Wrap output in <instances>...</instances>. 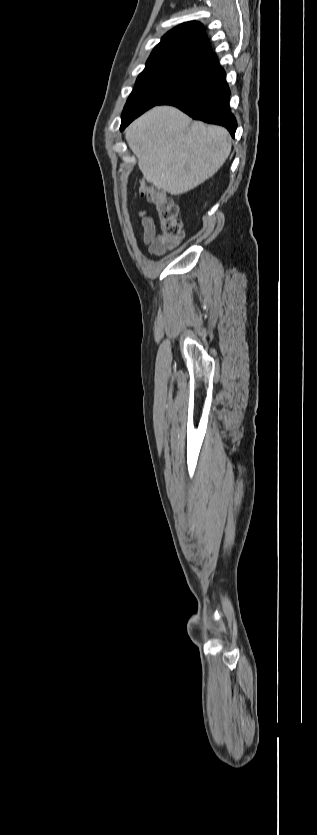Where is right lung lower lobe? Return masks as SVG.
I'll use <instances>...</instances> for the list:
<instances>
[{
	"instance_id": "98d812e1",
	"label": "right lung lower lobe",
	"mask_w": 317,
	"mask_h": 835,
	"mask_svg": "<svg viewBox=\"0 0 317 835\" xmlns=\"http://www.w3.org/2000/svg\"><path fill=\"white\" fill-rule=\"evenodd\" d=\"M206 77L203 83L173 95L161 105H173L195 120L225 127L234 138L237 122L229 106L230 89L226 74L214 53L190 59ZM124 128H120L122 131Z\"/></svg>"
}]
</instances>
